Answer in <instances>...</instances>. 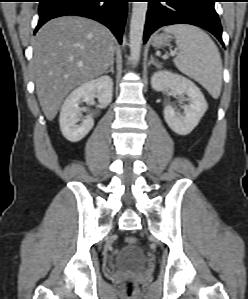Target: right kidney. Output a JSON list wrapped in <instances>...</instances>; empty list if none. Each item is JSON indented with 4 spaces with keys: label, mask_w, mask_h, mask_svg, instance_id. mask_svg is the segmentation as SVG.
<instances>
[{
    "label": "right kidney",
    "mask_w": 248,
    "mask_h": 299,
    "mask_svg": "<svg viewBox=\"0 0 248 299\" xmlns=\"http://www.w3.org/2000/svg\"><path fill=\"white\" fill-rule=\"evenodd\" d=\"M113 81L108 76H101L81 84L65 99L60 112V129L63 136L71 141L83 139L94 125L91 116L81 119V102L90 103L96 97L101 106H107L112 101ZM81 121V124L77 123Z\"/></svg>",
    "instance_id": "ca27d5eb"
}]
</instances>
